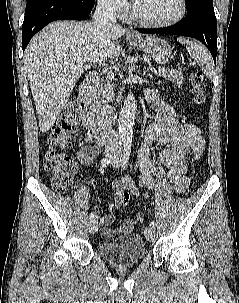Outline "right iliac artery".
<instances>
[{"mask_svg": "<svg viewBox=\"0 0 239 303\" xmlns=\"http://www.w3.org/2000/svg\"><path fill=\"white\" fill-rule=\"evenodd\" d=\"M121 144H122V143H120V145H121ZM109 163H110V159H109V158H103V159L101 160V166H102V167H107V166L109 165ZM94 218H95V214H94V213H91L90 216H89V220L92 221V220H94Z\"/></svg>", "mask_w": 239, "mask_h": 303, "instance_id": "1", "label": "right iliac artery"}]
</instances>
